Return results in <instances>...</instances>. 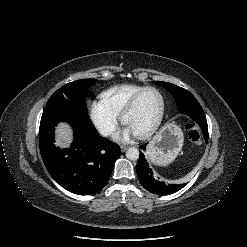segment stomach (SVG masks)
Instances as JSON below:
<instances>
[{
  "mask_svg": "<svg viewBox=\"0 0 247 247\" xmlns=\"http://www.w3.org/2000/svg\"><path fill=\"white\" fill-rule=\"evenodd\" d=\"M184 142L182 129L174 124H166L151 139L147 147L148 159L157 165H167L175 160Z\"/></svg>",
  "mask_w": 247,
  "mask_h": 247,
  "instance_id": "0dacf381",
  "label": "stomach"
}]
</instances>
